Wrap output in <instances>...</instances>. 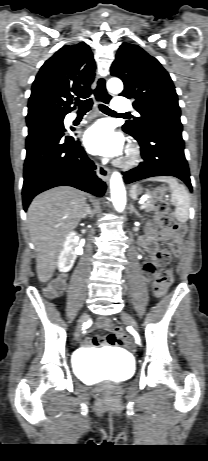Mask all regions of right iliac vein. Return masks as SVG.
I'll return each mask as SVG.
<instances>
[{
    "label": "right iliac vein",
    "instance_id": "63e3f726",
    "mask_svg": "<svg viewBox=\"0 0 208 461\" xmlns=\"http://www.w3.org/2000/svg\"><path fill=\"white\" fill-rule=\"evenodd\" d=\"M87 318H88L87 313L83 314V316L81 317L80 322H81V323L85 322V321L87 320ZM79 338H80V330H78V331L76 332V334H75V340L78 341Z\"/></svg>",
    "mask_w": 208,
    "mask_h": 461
}]
</instances>
